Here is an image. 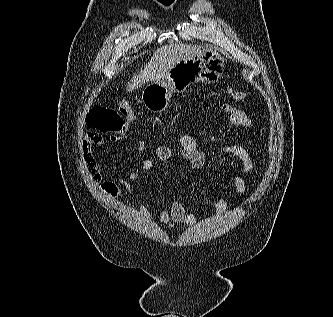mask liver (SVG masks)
<instances>
[{"label": "liver", "mask_w": 333, "mask_h": 317, "mask_svg": "<svg viewBox=\"0 0 333 317\" xmlns=\"http://www.w3.org/2000/svg\"><path fill=\"white\" fill-rule=\"evenodd\" d=\"M200 54L201 49L199 47L186 45L181 42L171 43L158 48L144 69L132 78L128 91L139 88L145 82L163 79L168 71L180 61Z\"/></svg>", "instance_id": "obj_1"}]
</instances>
